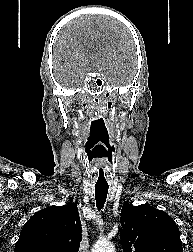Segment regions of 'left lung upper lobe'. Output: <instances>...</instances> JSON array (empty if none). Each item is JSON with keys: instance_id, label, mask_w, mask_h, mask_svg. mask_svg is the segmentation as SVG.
Listing matches in <instances>:
<instances>
[{"instance_id": "obj_1", "label": "left lung upper lobe", "mask_w": 193, "mask_h": 252, "mask_svg": "<svg viewBox=\"0 0 193 252\" xmlns=\"http://www.w3.org/2000/svg\"><path fill=\"white\" fill-rule=\"evenodd\" d=\"M120 221L123 252H183L178 226L163 211L125 203Z\"/></svg>"}]
</instances>
